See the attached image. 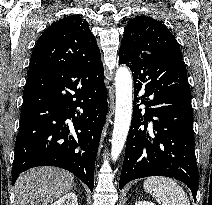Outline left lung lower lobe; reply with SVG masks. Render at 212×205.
<instances>
[{
    "label": "left lung lower lobe",
    "mask_w": 212,
    "mask_h": 205,
    "mask_svg": "<svg viewBox=\"0 0 212 205\" xmlns=\"http://www.w3.org/2000/svg\"><path fill=\"white\" fill-rule=\"evenodd\" d=\"M119 63L133 71L134 80V111L120 189L137 178L166 176L184 182L196 199L193 111L182 59L164 53H143L133 61ZM140 104L146 108L139 109Z\"/></svg>",
    "instance_id": "obj_1"
}]
</instances>
